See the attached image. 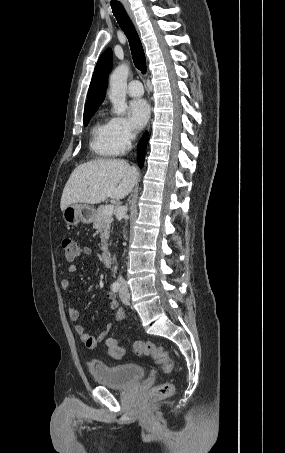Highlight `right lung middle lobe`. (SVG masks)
<instances>
[{"instance_id": "right-lung-middle-lobe-1", "label": "right lung middle lobe", "mask_w": 285, "mask_h": 453, "mask_svg": "<svg viewBox=\"0 0 285 453\" xmlns=\"http://www.w3.org/2000/svg\"><path fill=\"white\" fill-rule=\"evenodd\" d=\"M95 111L96 110L84 113V125L85 126L88 124L90 118L93 116Z\"/></svg>"}]
</instances>
